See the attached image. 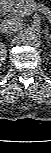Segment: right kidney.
<instances>
[{
	"instance_id": "obj_1",
	"label": "right kidney",
	"mask_w": 51,
	"mask_h": 153,
	"mask_svg": "<svg viewBox=\"0 0 51 153\" xmlns=\"http://www.w3.org/2000/svg\"><path fill=\"white\" fill-rule=\"evenodd\" d=\"M4 53H5V51H4V49H3V47L1 46V51H0V54H1V60L2 59H4Z\"/></svg>"
}]
</instances>
